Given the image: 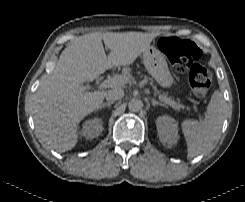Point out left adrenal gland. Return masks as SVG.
<instances>
[{
  "instance_id": "left-adrenal-gland-1",
  "label": "left adrenal gland",
  "mask_w": 245,
  "mask_h": 202,
  "mask_svg": "<svg viewBox=\"0 0 245 202\" xmlns=\"http://www.w3.org/2000/svg\"><path fill=\"white\" fill-rule=\"evenodd\" d=\"M151 103H152L153 106L160 105V106H165V107H166L165 104H163V103H161V102H158V101H156V100H154V99H151Z\"/></svg>"
}]
</instances>
